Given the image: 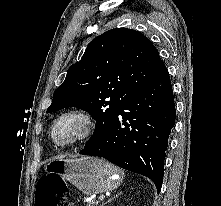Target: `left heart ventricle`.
Wrapping results in <instances>:
<instances>
[{"mask_svg":"<svg viewBox=\"0 0 221 206\" xmlns=\"http://www.w3.org/2000/svg\"><path fill=\"white\" fill-rule=\"evenodd\" d=\"M77 124L75 122H69L64 124L57 132V138L63 139L75 131Z\"/></svg>","mask_w":221,"mask_h":206,"instance_id":"left-heart-ventricle-1","label":"left heart ventricle"}]
</instances>
